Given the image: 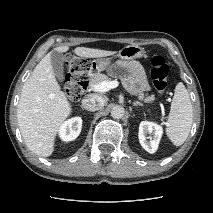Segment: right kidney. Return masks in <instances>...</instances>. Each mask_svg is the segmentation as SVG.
Listing matches in <instances>:
<instances>
[{"label": "right kidney", "mask_w": 213, "mask_h": 213, "mask_svg": "<svg viewBox=\"0 0 213 213\" xmlns=\"http://www.w3.org/2000/svg\"><path fill=\"white\" fill-rule=\"evenodd\" d=\"M81 128V117L71 118L61 125L59 129V136L65 142L72 141L78 137L81 132Z\"/></svg>", "instance_id": "ca27d5eb"}]
</instances>
